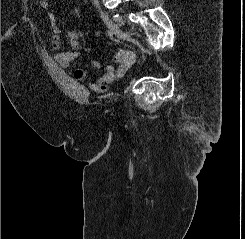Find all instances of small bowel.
<instances>
[{
  "label": "small bowel",
  "instance_id": "obj_1",
  "mask_svg": "<svg viewBox=\"0 0 245 239\" xmlns=\"http://www.w3.org/2000/svg\"><path fill=\"white\" fill-rule=\"evenodd\" d=\"M65 3L67 0H40V6L43 9H50L53 2ZM53 24L52 28V44L55 49V58L57 63L62 69H68L71 64L79 58V51L81 49L80 38L83 36L82 32L72 31L66 35V41L71 48V51L62 50V42L59 36V29L55 25V16L53 13L49 14ZM113 62L117 65H102L98 60H92L91 66L95 70H101V77L95 81L89 83L88 87L91 91L96 93H103L109 89V85L116 79L122 78L127 70L128 62L121 51H117L113 55ZM72 78L76 82H81L85 78V72L82 69H75L72 72Z\"/></svg>",
  "mask_w": 245,
  "mask_h": 239
}]
</instances>
